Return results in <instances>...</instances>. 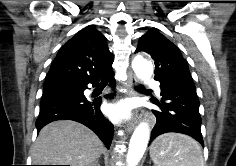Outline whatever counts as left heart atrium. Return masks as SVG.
I'll return each mask as SVG.
<instances>
[{
	"mask_svg": "<svg viewBox=\"0 0 236 166\" xmlns=\"http://www.w3.org/2000/svg\"><path fill=\"white\" fill-rule=\"evenodd\" d=\"M129 111L128 105H121V106H113L108 108L107 114L112 119H119L121 117L127 116Z\"/></svg>",
	"mask_w": 236,
	"mask_h": 166,
	"instance_id": "39dd6f15",
	"label": "left heart atrium"
}]
</instances>
